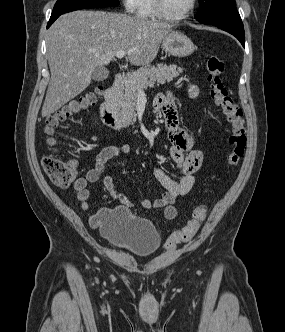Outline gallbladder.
<instances>
[{
	"label": "gallbladder",
	"instance_id": "gallbladder-1",
	"mask_svg": "<svg viewBox=\"0 0 285 332\" xmlns=\"http://www.w3.org/2000/svg\"><path fill=\"white\" fill-rule=\"evenodd\" d=\"M109 76V71L105 67H96L93 71L92 78L95 81H104Z\"/></svg>",
	"mask_w": 285,
	"mask_h": 332
}]
</instances>
